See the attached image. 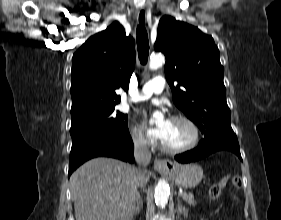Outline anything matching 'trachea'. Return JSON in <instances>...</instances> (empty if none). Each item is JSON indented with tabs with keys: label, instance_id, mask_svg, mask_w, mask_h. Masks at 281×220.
Masks as SVG:
<instances>
[{
	"label": "trachea",
	"instance_id": "obj_1",
	"mask_svg": "<svg viewBox=\"0 0 281 220\" xmlns=\"http://www.w3.org/2000/svg\"><path fill=\"white\" fill-rule=\"evenodd\" d=\"M137 50L140 62L145 65L149 55V40L145 27H137Z\"/></svg>",
	"mask_w": 281,
	"mask_h": 220
}]
</instances>
